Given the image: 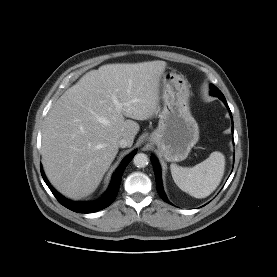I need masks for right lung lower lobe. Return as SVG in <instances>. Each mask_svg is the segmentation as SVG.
<instances>
[{"label": "right lung lower lobe", "mask_w": 277, "mask_h": 277, "mask_svg": "<svg viewBox=\"0 0 277 277\" xmlns=\"http://www.w3.org/2000/svg\"><path fill=\"white\" fill-rule=\"evenodd\" d=\"M136 151L128 155L121 163L119 168L115 171L112 177V182L110 184L109 189L106 191L105 195L97 202H74L71 200L66 199L63 197L61 194H59L48 182L42 167L41 168V175L43 177V180L53 193V195L56 197V199L66 208L78 212V213H92L96 212L99 210H102L106 207H108L116 198V195L118 193L120 183H121V178L122 174L124 172V169L126 166L129 164V162L133 159L135 156Z\"/></svg>", "instance_id": "right-lung-lower-lobe-1"}]
</instances>
